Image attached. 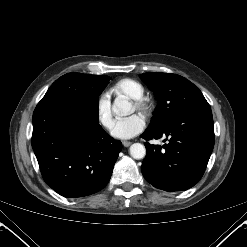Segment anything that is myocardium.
Masks as SVG:
<instances>
[{"label": "myocardium", "instance_id": "myocardium-1", "mask_svg": "<svg viewBox=\"0 0 247 247\" xmlns=\"http://www.w3.org/2000/svg\"><path fill=\"white\" fill-rule=\"evenodd\" d=\"M133 104L135 109L144 114H147L151 109V104L144 98L135 99Z\"/></svg>", "mask_w": 247, "mask_h": 247}]
</instances>
